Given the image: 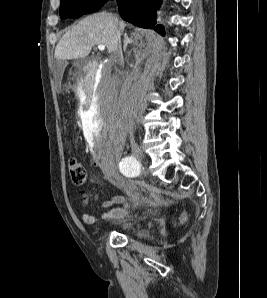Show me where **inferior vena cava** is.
<instances>
[{"instance_id":"1","label":"inferior vena cava","mask_w":267,"mask_h":298,"mask_svg":"<svg viewBox=\"0 0 267 298\" xmlns=\"http://www.w3.org/2000/svg\"><path fill=\"white\" fill-rule=\"evenodd\" d=\"M118 40L120 42V34L118 33ZM113 61H121L122 60V50L121 45L115 50L112 56ZM118 105L121 109L123 116L129 118L130 117V109H129V101H128V92L127 86L124 84L120 89V95L118 99Z\"/></svg>"}]
</instances>
